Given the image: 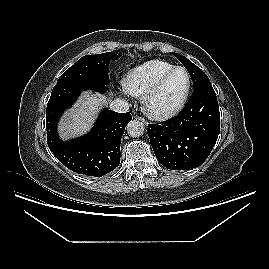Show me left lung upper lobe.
Wrapping results in <instances>:
<instances>
[{
    "label": "left lung upper lobe",
    "instance_id": "5c2ea615",
    "mask_svg": "<svg viewBox=\"0 0 269 269\" xmlns=\"http://www.w3.org/2000/svg\"><path fill=\"white\" fill-rule=\"evenodd\" d=\"M174 56L178 58V60L185 66V68L188 70L192 81L194 85V89L210 83L209 78L207 75L195 64H193L190 60H188L186 57L173 53Z\"/></svg>",
    "mask_w": 269,
    "mask_h": 269
}]
</instances>
